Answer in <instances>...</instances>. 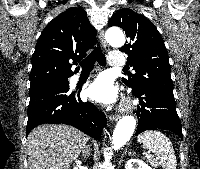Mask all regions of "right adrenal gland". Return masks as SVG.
Here are the masks:
<instances>
[{"label":"right adrenal gland","instance_id":"2a0ac1e0","mask_svg":"<svg viewBox=\"0 0 200 169\" xmlns=\"http://www.w3.org/2000/svg\"><path fill=\"white\" fill-rule=\"evenodd\" d=\"M91 154V149L88 146L84 147V150L82 151V156H84V158L89 157Z\"/></svg>","mask_w":200,"mask_h":169}]
</instances>
